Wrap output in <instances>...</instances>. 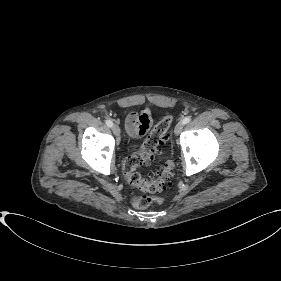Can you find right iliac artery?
<instances>
[{"instance_id": "82829eb1", "label": "right iliac artery", "mask_w": 281, "mask_h": 281, "mask_svg": "<svg viewBox=\"0 0 281 281\" xmlns=\"http://www.w3.org/2000/svg\"><path fill=\"white\" fill-rule=\"evenodd\" d=\"M106 124L108 127H112L113 126V122L111 120H106Z\"/></svg>"}]
</instances>
